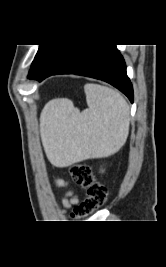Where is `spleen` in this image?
Listing matches in <instances>:
<instances>
[{"instance_id": "1", "label": "spleen", "mask_w": 166, "mask_h": 267, "mask_svg": "<svg viewBox=\"0 0 166 267\" xmlns=\"http://www.w3.org/2000/svg\"><path fill=\"white\" fill-rule=\"evenodd\" d=\"M88 108L45 107L40 132L49 160L69 166L89 158L107 157L117 152L129 133V107L123 96L106 86H84Z\"/></svg>"}]
</instances>
